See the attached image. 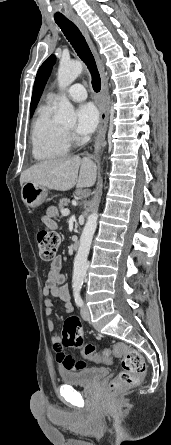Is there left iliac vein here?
Wrapping results in <instances>:
<instances>
[{
    "mask_svg": "<svg viewBox=\"0 0 171 445\" xmlns=\"http://www.w3.org/2000/svg\"><path fill=\"white\" fill-rule=\"evenodd\" d=\"M80 313H81V317L83 318V320H85V321H89L90 320V312H89V308H88L87 305L84 304L81 307Z\"/></svg>",
    "mask_w": 171,
    "mask_h": 445,
    "instance_id": "1",
    "label": "left iliac vein"
}]
</instances>
